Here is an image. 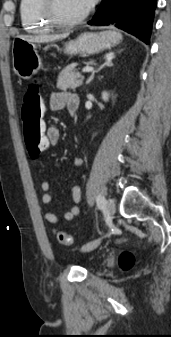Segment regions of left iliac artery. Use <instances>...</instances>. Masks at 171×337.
Segmentation results:
<instances>
[{
  "label": "left iliac artery",
  "instance_id": "44dca946",
  "mask_svg": "<svg viewBox=\"0 0 171 337\" xmlns=\"http://www.w3.org/2000/svg\"><path fill=\"white\" fill-rule=\"evenodd\" d=\"M97 206L98 208H103L105 206V198L102 195L97 197Z\"/></svg>",
  "mask_w": 171,
  "mask_h": 337
}]
</instances>
